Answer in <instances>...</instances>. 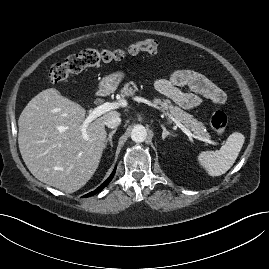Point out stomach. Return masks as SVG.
<instances>
[{"mask_svg":"<svg viewBox=\"0 0 269 269\" xmlns=\"http://www.w3.org/2000/svg\"><path fill=\"white\" fill-rule=\"evenodd\" d=\"M125 77V73L123 71H117L112 74L105 76L100 84L99 90L102 93H110L117 89L119 83Z\"/></svg>","mask_w":269,"mask_h":269,"instance_id":"0dacf381","label":"stomach"}]
</instances>
